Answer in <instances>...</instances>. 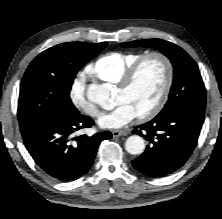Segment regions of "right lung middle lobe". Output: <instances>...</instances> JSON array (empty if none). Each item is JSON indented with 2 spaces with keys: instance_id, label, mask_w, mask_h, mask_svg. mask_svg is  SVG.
<instances>
[{
  "instance_id": "right-lung-middle-lobe-1",
  "label": "right lung middle lobe",
  "mask_w": 222,
  "mask_h": 219,
  "mask_svg": "<svg viewBox=\"0 0 222 219\" xmlns=\"http://www.w3.org/2000/svg\"><path fill=\"white\" fill-rule=\"evenodd\" d=\"M107 43L70 42L40 53L27 68L20 86L18 118L28 133L64 110H77L70 90L78 70Z\"/></svg>"
}]
</instances>
